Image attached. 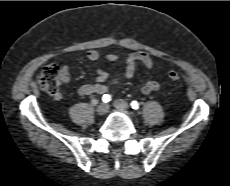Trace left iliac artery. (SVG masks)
<instances>
[{
    "label": "left iliac artery",
    "instance_id": "1",
    "mask_svg": "<svg viewBox=\"0 0 230 186\" xmlns=\"http://www.w3.org/2000/svg\"><path fill=\"white\" fill-rule=\"evenodd\" d=\"M130 105L135 110L139 108V103L137 101H135V100L132 101Z\"/></svg>",
    "mask_w": 230,
    "mask_h": 186
}]
</instances>
